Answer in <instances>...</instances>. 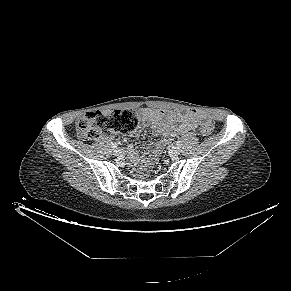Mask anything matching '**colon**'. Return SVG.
Segmentation results:
<instances>
[{
	"label": "colon",
	"mask_w": 291,
	"mask_h": 291,
	"mask_svg": "<svg viewBox=\"0 0 291 291\" xmlns=\"http://www.w3.org/2000/svg\"><path fill=\"white\" fill-rule=\"evenodd\" d=\"M140 123V115L134 110H115L110 113L89 111L82 115L77 122L79 135L88 140L102 135L119 136L134 131ZM213 124L204 122L201 133L208 136L213 132Z\"/></svg>",
	"instance_id": "colon-1"
}]
</instances>
